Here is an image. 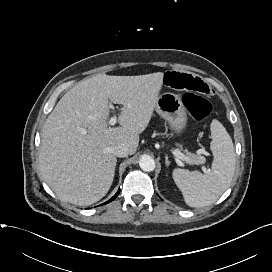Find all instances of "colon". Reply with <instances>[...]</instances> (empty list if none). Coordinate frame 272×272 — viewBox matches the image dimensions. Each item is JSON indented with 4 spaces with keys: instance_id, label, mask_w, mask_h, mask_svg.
I'll use <instances>...</instances> for the list:
<instances>
[{
    "instance_id": "colon-1",
    "label": "colon",
    "mask_w": 272,
    "mask_h": 272,
    "mask_svg": "<svg viewBox=\"0 0 272 272\" xmlns=\"http://www.w3.org/2000/svg\"><path fill=\"white\" fill-rule=\"evenodd\" d=\"M182 99L190 115L197 121L206 119L211 113L212 105L206 97L185 93Z\"/></svg>"
}]
</instances>
